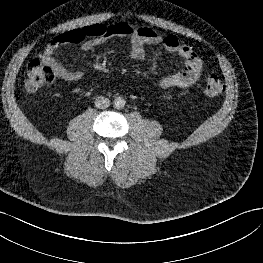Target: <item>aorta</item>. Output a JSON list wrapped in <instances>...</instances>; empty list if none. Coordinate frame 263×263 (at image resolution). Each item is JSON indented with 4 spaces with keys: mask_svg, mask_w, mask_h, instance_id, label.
<instances>
[{
    "mask_svg": "<svg viewBox=\"0 0 263 263\" xmlns=\"http://www.w3.org/2000/svg\"><path fill=\"white\" fill-rule=\"evenodd\" d=\"M125 106V100L121 97H117L114 99V107L115 108H123Z\"/></svg>",
    "mask_w": 263,
    "mask_h": 263,
    "instance_id": "aorta-1",
    "label": "aorta"
}]
</instances>
